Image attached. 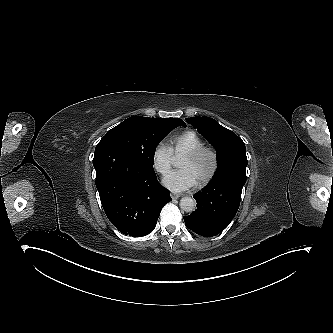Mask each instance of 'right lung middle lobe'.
<instances>
[{
	"mask_svg": "<svg viewBox=\"0 0 333 333\" xmlns=\"http://www.w3.org/2000/svg\"><path fill=\"white\" fill-rule=\"evenodd\" d=\"M186 127L177 118L132 116L109 130L100 142L114 141L126 149L141 165L153 170L156 146L174 128Z\"/></svg>",
	"mask_w": 333,
	"mask_h": 333,
	"instance_id": "dd1d6c3e",
	"label": "right lung middle lobe"
}]
</instances>
